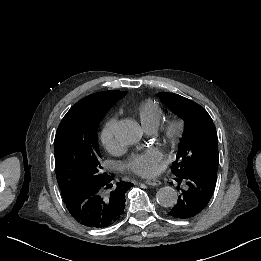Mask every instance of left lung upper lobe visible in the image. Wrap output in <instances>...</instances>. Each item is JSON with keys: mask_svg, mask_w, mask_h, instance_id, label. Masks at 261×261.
<instances>
[{"mask_svg": "<svg viewBox=\"0 0 261 261\" xmlns=\"http://www.w3.org/2000/svg\"><path fill=\"white\" fill-rule=\"evenodd\" d=\"M158 97L185 122L177 160L171 168L180 177L192 171L208 178H217L219 161L218 137L210 115L194 101L174 93H158Z\"/></svg>", "mask_w": 261, "mask_h": 261, "instance_id": "5c2ea615", "label": "left lung upper lobe"}]
</instances>
